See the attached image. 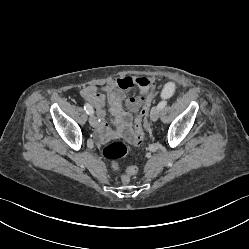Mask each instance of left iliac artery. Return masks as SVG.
<instances>
[{
	"label": "left iliac artery",
	"instance_id": "obj_1",
	"mask_svg": "<svg viewBox=\"0 0 249 249\" xmlns=\"http://www.w3.org/2000/svg\"><path fill=\"white\" fill-rule=\"evenodd\" d=\"M167 105V103L165 101H162L158 104V108L161 110V109H164L165 106Z\"/></svg>",
	"mask_w": 249,
	"mask_h": 249
}]
</instances>
